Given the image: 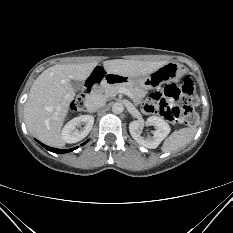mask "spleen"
I'll use <instances>...</instances> for the list:
<instances>
[{"label":"spleen","instance_id":"1","mask_svg":"<svg viewBox=\"0 0 233 233\" xmlns=\"http://www.w3.org/2000/svg\"><path fill=\"white\" fill-rule=\"evenodd\" d=\"M197 132L196 127L182 128L174 131L163 143L162 152H173L186 145L194 138Z\"/></svg>","mask_w":233,"mask_h":233}]
</instances>
